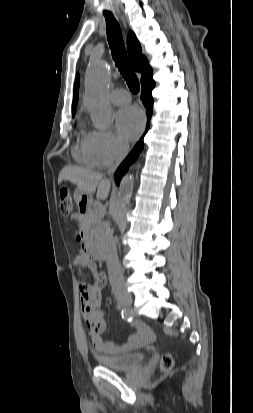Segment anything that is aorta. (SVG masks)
Returning a JSON list of instances; mask_svg holds the SVG:
<instances>
[{
    "instance_id": "762f6f07",
    "label": "aorta",
    "mask_w": 253,
    "mask_h": 413,
    "mask_svg": "<svg viewBox=\"0 0 253 413\" xmlns=\"http://www.w3.org/2000/svg\"><path fill=\"white\" fill-rule=\"evenodd\" d=\"M111 85V67L104 60L93 62L85 75L84 104L87 107L92 122L101 129L110 126L113 118V110L108 101ZM134 188V178L126 175L120 185L118 198L112 205V210L117 212L120 206L129 203Z\"/></svg>"
}]
</instances>
